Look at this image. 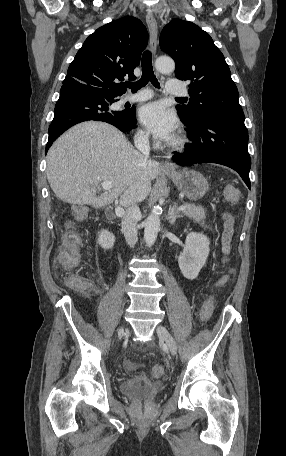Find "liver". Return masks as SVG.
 I'll return each mask as SVG.
<instances>
[{"instance_id":"obj_1","label":"liver","mask_w":286,"mask_h":456,"mask_svg":"<svg viewBox=\"0 0 286 456\" xmlns=\"http://www.w3.org/2000/svg\"><path fill=\"white\" fill-rule=\"evenodd\" d=\"M46 172L51 189L64 202L100 208L120 197V205L129 207L149 195L160 164L145 159L115 127L89 121L54 142ZM104 181L112 183V190L97 197Z\"/></svg>"}]
</instances>
